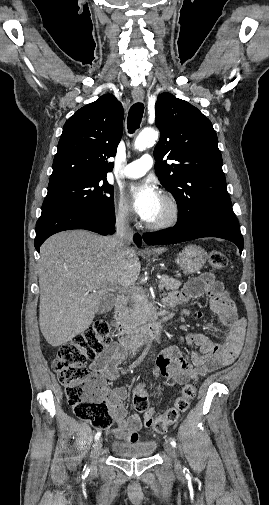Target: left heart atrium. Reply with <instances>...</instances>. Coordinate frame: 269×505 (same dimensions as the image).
Here are the masks:
<instances>
[{
	"label": "left heart atrium",
	"instance_id": "left-heart-atrium-1",
	"mask_svg": "<svg viewBox=\"0 0 269 505\" xmlns=\"http://www.w3.org/2000/svg\"><path fill=\"white\" fill-rule=\"evenodd\" d=\"M130 199L134 212L148 221L161 200V194L152 182L145 181L130 188Z\"/></svg>",
	"mask_w": 269,
	"mask_h": 505
}]
</instances>
